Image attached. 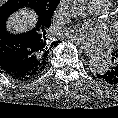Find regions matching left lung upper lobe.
Here are the masks:
<instances>
[{
  "label": "left lung upper lobe",
  "instance_id": "5c2ea615",
  "mask_svg": "<svg viewBox=\"0 0 118 118\" xmlns=\"http://www.w3.org/2000/svg\"><path fill=\"white\" fill-rule=\"evenodd\" d=\"M116 52H118V50L114 51L113 53H116Z\"/></svg>",
  "mask_w": 118,
  "mask_h": 118
}]
</instances>
